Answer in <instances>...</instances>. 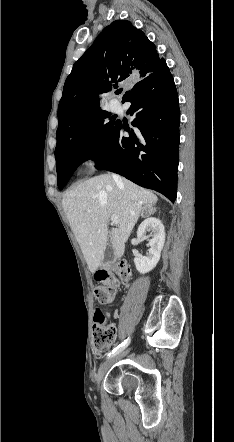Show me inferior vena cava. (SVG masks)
<instances>
[{
  "instance_id": "1",
  "label": "inferior vena cava",
  "mask_w": 234,
  "mask_h": 442,
  "mask_svg": "<svg viewBox=\"0 0 234 442\" xmlns=\"http://www.w3.org/2000/svg\"><path fill=\"white\" fill-rule=\"evenodd\" d=\"M112 177L117 183L121 182V178L118 175L113 174Z\"/></svg>"
}]
</instances>
